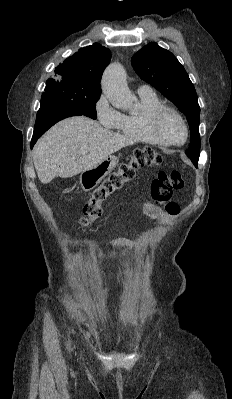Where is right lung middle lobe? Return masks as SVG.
<instances>
[{
  "mask_svg": "<svg viewBox=\"0 0 232 399\" xmlns=\"http://www.w3.org/2000/svg\"><path fill=\"white\" fill-rule=\"evenodd\" d=\"M100 95L101 92L87 91L59 82L47 81L41 101L62 102L75 107L86 116L96 119V103Z\"/></svg>",
  "mask_w": 232,
  "mask_h": 399,
  "instance_id": "obj_1",
  "label": "right lung middle lobe"
}]
</instances>
